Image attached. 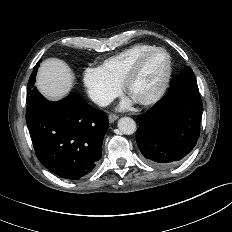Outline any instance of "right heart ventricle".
I'll return each mask as SVG.
<instances>
[{
  "label": "right heart ventricle",
  "instance_id": "1",
  "mask_svg": "<svg viewBox=\"0 0 232 232\" xmlns=\"http://www.w3.org/2000/svg\"><path fill=\"white\" fill-rule=\"evenodd\" d=\"M149 44L133 45L109 58H107L100 68L114 81L122 84L126 73L134 60L143 52L152 48Z\"/></svg>",
  "mask_w": 232,
  "mask_h": 232
}]
</instances>
